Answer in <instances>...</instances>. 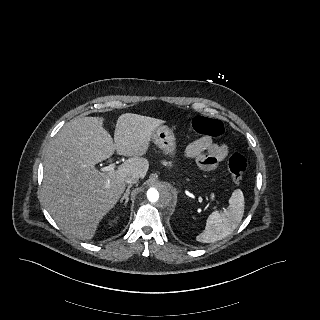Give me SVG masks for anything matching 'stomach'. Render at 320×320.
Here are the masks:
<instances>
[{"label":"stomach","instance_id":"1","mask_svg":"<svg viewBox=\"0 0 320 320\" xmlns=\"http://www.w3.org/2000/svg\"><path fill=\"white\" fill-rule=\"evenodd\" d=\"M154 144H156L163 153L171 156L172 158L176 152V138L173 131L164 125L158 126L151 137Z\"/></svg>","mask_w":320,"mask_h":320}]
</instances>
